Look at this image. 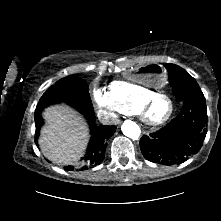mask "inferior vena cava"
<instances>
[{
  "instance_id": "inferior-vena-cava-1",
  "label": "inferior vena cava",
  "mask_w": 221,
  "mask_h": 221,
  "mask_svg": "<svg viewBox=\"0 0 221 221\" xmlns=\"http://www.w3.org/2000/svg\"><path fill=\"white\" fill-rule=\"evenodd\" d=\"M97 116H98L99 121L104 125H109V124H113L116 122L114 113L109 112V111H105V110L99 111Z\"/></svg>"
}]
</instances>
